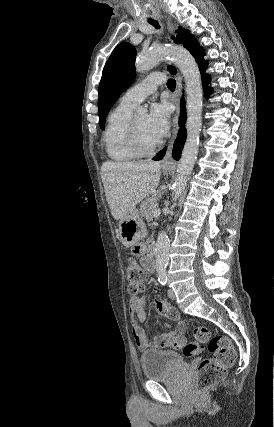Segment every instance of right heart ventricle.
I'll list each match as a JSON object with an SVG mask.
<instances>
[{"instance_id":"1","label":"right heart ventricle","mask_w":274,"mask_h":427,"mask_svg":"<svg viewBox=\"0 0 274 427\" xmlns=\"http://www.w3.org/2000/svg\"><path fill=\"white\" fill-rule=\"evenodd\" d=\"M133 109L119 104L110 116L109 126L104 133V145L105 153L112 161L128 163L137 159L128 140Z\"/></svg>"}]
</instances>
